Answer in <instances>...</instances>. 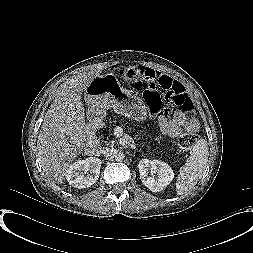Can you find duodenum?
<instances>
[{
    "label": "duodenum",
    "mask_w": 253,
    "mask_h": 253,
    "mask_svg": "<svg viewBox=\"0 0 253 253\" xmlns=\"http://www.w3.org/2000/svg\"><path fill=\"white\" fill-rule=\"evenodd\" d=\"M103 119V112L100 109H93L90 111V122L94 126H98ZM98 149V145L95 142H90L86 146V152L88 154H93Z\"/></svg>",
    "instance_id": "duodenum-1"
}]
</instances>
